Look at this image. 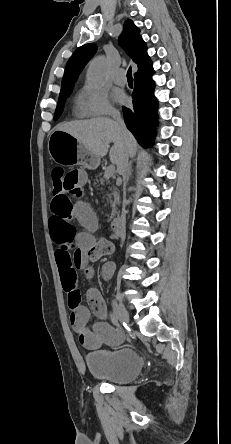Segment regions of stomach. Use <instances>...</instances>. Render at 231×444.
Segmentation results:
<instances>
[{"label":"stomach","instance_id":"0dacf381","mask_svg":"<svg viewBox=\"0 0 231 444\" xmlns=\"http://www.w3.org/2000/svg\"><path fill=\"white\" fill-rule=\"evenodd\" d=\"M48 151L51 158L63 165H84L95 169L100 164V158L67 132L55 130L49 138Z\"/></svg>","mask_w":231,"mask_h":444}]
</instances>
